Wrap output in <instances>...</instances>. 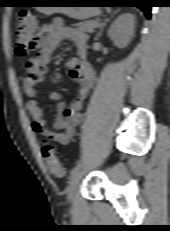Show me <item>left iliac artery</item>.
Returning a JSON list of instances; mask_svg holds the SVG:
<instances>
[{
  "label": "left iliac artery",
  "instance_id": "44dca946",
  "mask_svg": "<svg viewBox=\"0 0 170 231\" xmlns=\"http://www.w3.org/2000/svg\"><path fill=\"white\" fill-rule=\"evenodd\" d=\"M81 167V163H78L76 166H74L71 170V175H74Z\"/></svg>",
  "mask_w": 170,
  "mask_h": 231
}]
</instances>
